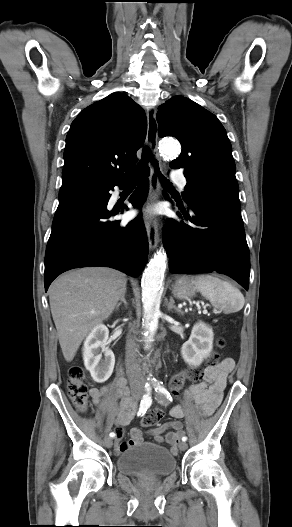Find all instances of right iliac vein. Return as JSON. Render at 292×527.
<instances>
[{
	"mask_svg": "<svg viewBox=\"0 0 292 527\" xmlns=\"http://www.w3.org/2000/svg\"><path fill=\"white\" fill-rule=\"evenodd\" d=\"M140 397H141V393L140 392H136V393L133 394V399L134 400H139ZM105 445H106L107 448H111L112 445H113L112 439L111 438H107L105 440Z\"/></svg>",
	"mask_w": 292,
	"mask_h": 527,
	"instance_id": "63e3f726",
	"label": "right iliac vein"
}]
</instances>
